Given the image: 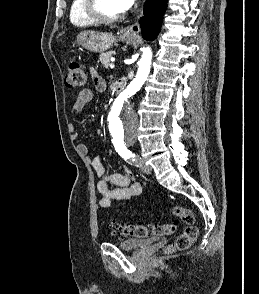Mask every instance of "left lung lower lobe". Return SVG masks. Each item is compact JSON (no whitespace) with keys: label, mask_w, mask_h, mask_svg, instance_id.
<instances>
[{"label":"left lung lower lobe","mask_w":259,"mask_h":294,"mask_svg":"<svg viewBox=\"0 0 259 294\" xmlns=\"http://www.w3.org/2000/svg\"><path fill=\"white\" fill-rule=\"evenodd\" d=\"M165 7V0H147L144 4V16L139 21L144 39L156 38L161 28Z\"/></svg>","instance_id":"0a47b994"}]
</instances>
